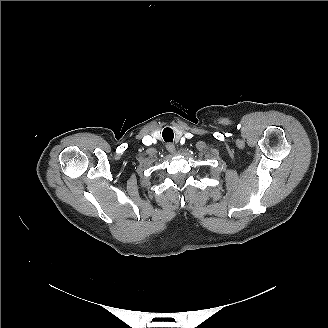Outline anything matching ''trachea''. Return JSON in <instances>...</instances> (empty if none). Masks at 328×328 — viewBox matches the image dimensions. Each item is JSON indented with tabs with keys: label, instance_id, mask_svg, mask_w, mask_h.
Segmentation results:
<instances>
[{
	"label": "trachea",
	"instance_id": "1",
	"mask_svg": "<svg viewBox=\"0 0 328 328\" xmlns=\"http://www.w3.org/2000/svg\"><path fill=\"white\" fill-rule=\"evenodd\" d=\"M162 137L165 142H173L174 132L171 128L166 127L162 132Z\"/></svg>",
	"mask_w": 328,
	"mask_h": 328
}]
</instances>
